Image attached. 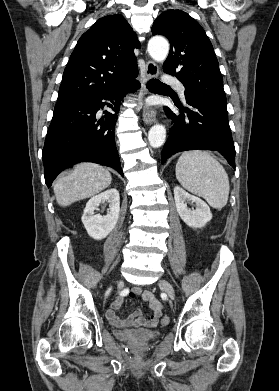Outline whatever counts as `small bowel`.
Here are the masks:
<instances>
[{"label": "small bowel", "mask_w": 279, "mask_h": 391, "mask_svg": "<svg viewBox=\"0 0 279 391\" xmlns=\"http://www.w3.org/2000/svg\"><path fill=\"white\" fill-rule=\"evenodd\" d=\"M129 296L134 297L140 295L143 300L148 302L151 309V315L149 318H144L140 310L134 311L130 316L121 318L117 316L116 311L122 306L123 298H117L106 311L107 320L116 327H136V328H153L156 327L159 318L162 314V304L153 296V294L147 290H140L134 288L128 291Z\"/></svg>", "instance_id": "obj_1"}]
</instances>
